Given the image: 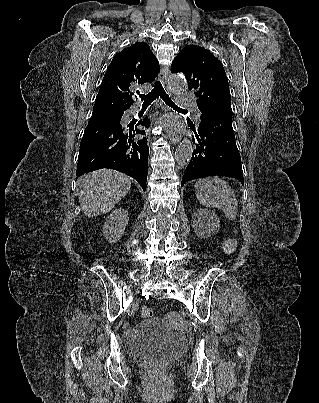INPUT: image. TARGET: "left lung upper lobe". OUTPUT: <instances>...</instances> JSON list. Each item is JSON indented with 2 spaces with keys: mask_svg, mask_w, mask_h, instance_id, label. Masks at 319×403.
I'll return each instance as SVG.
<instances>
[{
  "mask_svg": "<svg viewBox=\"0 0 319 403\" xmlns=\"http://www.w3.org/2000/svg\"><path fill=\"white\" fill-rule=\"evenodd\" d=\"M171 70L186 75L188 88L198 97L197 106L201 112L217 108L232 110L224 68L207 49L186 46L174 59Z\"/></svg>",
  "mask_w": 319,
  "mask_h": 403,
  "instance_id": "1",
  "label": "left lung upper lobe"
}]
</instances>
